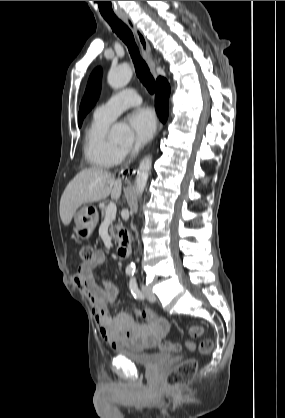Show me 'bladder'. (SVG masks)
Here are the masks:
<instances>
[{"mask_svg":"<svg viewBox=\"0 0 285 418\" xmlns=\"http://www.w3.org/2000/svg\"><path fill=\"white\" fill-rule=\"evenodd\" d=\"M118 356H125L139 366L152 368L169 360L170 354L165 352H136L130 348L117 349Z\"/></svg>","mask_w":285,"mask_h":418,"instance_id":"bladder-1","label":"bladder"}]
</instances>
